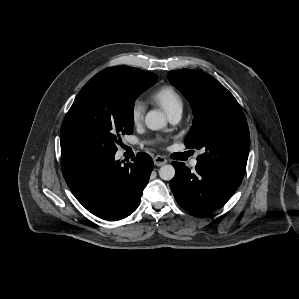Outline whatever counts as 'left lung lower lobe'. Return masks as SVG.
Returning a JSON list of instances; mask_svg holds the SVG:
<instances>
[{
    "mask_svg": "<svg viewBox=\"0 0 299 299\" xmlns=\"http://www.w3.org/2000/svg\"><path fill=\"white\" fill-rule=\"evenodd\" d=\"M176 170L170 181L178 204L195 214H208L221 208L240 186L243 175L197 162L191 172L184 163L172 162Z\"/></svg>",
    "mask_w": 299,
    "mask_h": 299,
    "instance_id": "obj_1",
    "label": "left lung lower lobe"
}]
</instances>
